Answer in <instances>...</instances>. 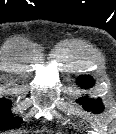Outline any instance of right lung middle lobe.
I'll return each mask as SVG.
<instances>
[{"mask_svg":"<svg viewBox=\"0 0 116 134\" xmlns=\"http://www.w3.org/2000/svg\"><path fill=\"white\" fill-rule=\"evenodd\" d=\"M11 102L7 99L0 98V130L13 129L19 125L21 119L18 117L12 118L9 115Z\"/></svg>","mask_w":116,"mask_h":134,"instance_id":"dd1d6c3e","label":"right lung middle lobe"}]
</instances>
